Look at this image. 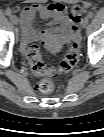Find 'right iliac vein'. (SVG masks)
<instances>
[{
    "label": "right iliac vein",
    "mask_w": 104,
    "mask_h": 137,
    "mask_svg": "<svg viewBox=\"0 0 104 137\" xmlns=\"http://www.w3.org/2000/svg\"><path fill=\"white\" fill-rule=\"evenodd\" d=\"M10 20L13 24L17 25L18 24V18L16 15H11Z\"/></svg>",
    "instance_id": "1"
}]
</instances>
